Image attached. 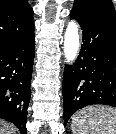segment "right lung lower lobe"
I'll use <instances>...</instances> for the list:
<instances>
[{
  "label": "right lung lower lobe",
  "instance_id": "1",
  "mask_svg": "<svg viewBox=\"0 0 116 134\" xmlns=\"http://www.w3.org/2000/svg\"><path fill=\"white\" fill-rule=\"evenodd\" d=\"M34 31L0 53V118L26 134L27 109L34 62Z\"/></svg>",
  "mask_w": 116,
  "mask_h": 134
}]
</instances>
